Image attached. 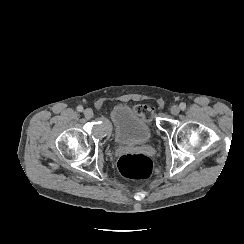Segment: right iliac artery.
Returning a JSON list of instances; mask_svg holds the SVG:
<instances>
[{
  "label": "right iliac artery",
  "mask_w": 244,
  "mask_h": 244,
  "mask_svg": "<svg viewBox=\"0 0 244 244\" xmlns=\"http://www.w3.org/2000/svg\"><path fill=\"white\" fill-rule=\"evenodd\" d=\"M77 111L82 112V111H83V107H82L81 105H79V106L77 107Z\"/></svg>",
  "instance_id": "82829eb1"
}]
</instances>
